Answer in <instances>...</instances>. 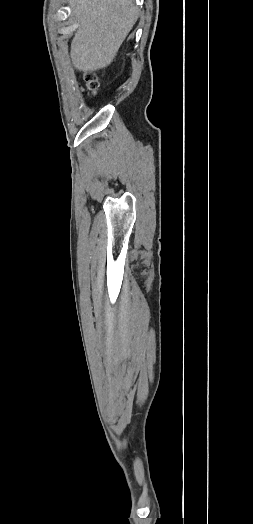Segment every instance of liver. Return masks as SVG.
I'll return each mask as SVG.
<instances>
[{
	"instance_id": "1",
	"label": "liver",
	"mask_w": 253,
	"mask_h": 524,
	"mask_svg": "<svg viewBox=\"0 0 253 524\" xmlns=\"http://www.w3.org/2000/svg\"><path fill=\"white\" fill-rule=\"evenodd\" d=\"M78 30L70 56L80 71L107 67L138 18L133 0H70Z\"/></svg>"
}]
</instances>
